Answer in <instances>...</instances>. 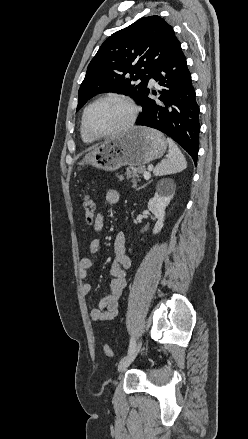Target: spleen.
Wrapping results in <instances>:
<instances>
[{
  "mask_svg": "<svg viewBox=\"0 0 248 439\" xmlns=\"http://www.w3.org/2000/svg\"><path fill=\"white\" fill-rule=\"evenodd\" d=\"M167 142L169 144V153L165 159L156 165L153 171L156 176L178 173L187 167L186 159L175 142L170 138L167 139Z\"/></svg>",
  "mask_w": 248,
  "mask_h": 439,
  "instance_id": "1",
  "label": "spleen"
}]
</instances>
